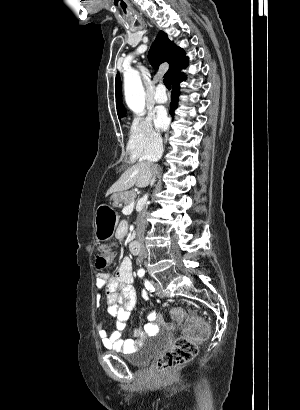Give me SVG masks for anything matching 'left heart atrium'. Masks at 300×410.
Masks as SVG:
<instances>
[{
  "instance_id": "left-heart-atrium-1",
  "label": "left heart atrium",
  "mask_w": 300,
  "mask_h": 410,
  "mask_svg": "<svg viewBox=\"0 0 300 410\" xmlns=\"http://www.w3.org/2000/svg\"><path fill=\"white\" fill-rule=\"evenodd\" d=\"M168 118H167V114L165 112V110L160 109L157 112L156 118H155V123L156 126L160 129L165 128L166 124H167Z\"/></svg>"
}]
</instances>
